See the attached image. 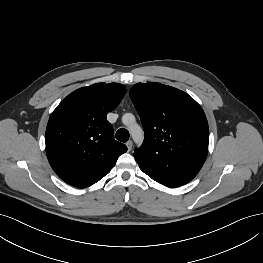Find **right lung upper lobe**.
<instances>
[{
  "label": "right lung upper lobe",
  "mask_w": 263,
  "mask_h": 263,
  "mask_svg": "<svg viewBox=\"0 0 263 263\" xmlns=\"http://www.w3.org/2000/svg\"><path fill=\"white\" fill-rule=\"evenodd\" d=\"M126 93L122 84L97 83L69 94L46 128L48 161L66 183L88 187L102 179L127 147L114 139L107 113Z\"/></svg>",
  "instance_id": "obj_1"
}]
</instances>
